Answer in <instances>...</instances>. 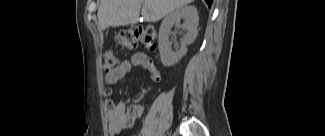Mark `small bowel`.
<instances>
[{
  "label": "small bowel",
  "mask_w": 325,
  "mask_h": 136,
  "mask_svg": "<svg viewBox=\"0 0 325 136\" xmlns=\"http://www.w3.org/2000/svg\"><path fill=\"white\" fill-rule=\"evenodd\" d=\"M141 67L149 73L153 82H159L161 79L160 71L157 69L154 61L145 53H134L129 59L123 60L114 70L107 72L105 81L108 84H115L120 81L132 68ZM110 94L109 91L106 92ZM107 129L109 135H117L131 128L136 119L144 114V106L139 103H132L125 99L115 102L112 99L106 100Z\"/></svg>",
  "instance_id": "c3829d8e"
}]
</instances>
